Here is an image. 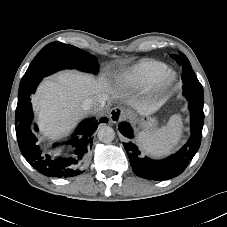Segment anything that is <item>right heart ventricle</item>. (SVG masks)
I'll list each match as a JSON object with an SVG mask.
<instances>
[{"mask_svg": "<svg viewBox=\"0 0 227 227\" xmlns=\"http://www.w3.org/2000/svg\"><path fill=\"white\" fill-rule=\"evenodd\" d=\"M168 71V66L156 60H144L135 64L124 76L125 84L133 89L156 84Z\"/></svg>", "mask_w": 227, "mask_h": 227, "instance_id": "1", "label": "right heart ventricle"}]
</instances>
